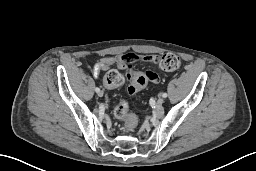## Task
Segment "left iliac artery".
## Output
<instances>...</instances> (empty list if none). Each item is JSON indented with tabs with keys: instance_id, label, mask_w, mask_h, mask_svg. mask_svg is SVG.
<instances>
[{
	"instance_id": "obj_1",
	"label": "left iliac artery",
	"mask_w": 256,
	"mask_h": 171,
	"mask_svg": "<svg viewBox=\"0 0 256 171\" xmlns=\"http://www.w3.org/2000/svg\"><path fill=\"white\" fill-rule=\"evenodd\" d=\"M162 97L166 98L167 97V93H163Z\"/></svg>"
}]
</instances>
